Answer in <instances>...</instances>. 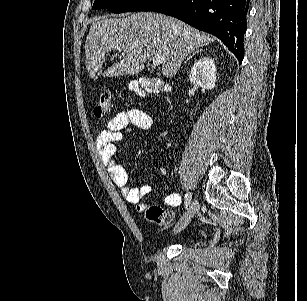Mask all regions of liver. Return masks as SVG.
Masks as SVG:
<instances>
[{"mask_svg":"<svg viewBox=\"0 0 307 301\" xmlns=\"http://www.w3.org/2000/svg\"><path fill=\"white\" fill-rule=\"evenodd\" d=\"M108 16L111 14L92 20L87 34L85 66L90 78H96L98 70L102 76L138 74L154 54L162 56L161 70L170 78L190 52L215 40L212 34L159 12H131L122 18ZM119 48H127L121 52V60L102 70L109 52Z\"/></svg>","mask_w":307,"mask_h":301,"instance_id":"liver-1","label":"liver"}]
</instances>
